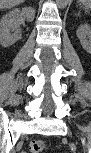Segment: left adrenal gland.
Masks as SVG:
<instances>
[{
    "instance_id": "obj_1",
    "label": "left adrenal gland",
    "mask_w": 91,
    "mask_h": 153,
    "mask_svg": "<svg viewBox=\"0 0 91 153\" xmlns=\"http://www.w3.org/2000/svg\"><path fill=\"white\" fill-rule=\"evenodd\" d=\"M78 16H80V12H78Z\"/></svg>"
}]
</instances>
